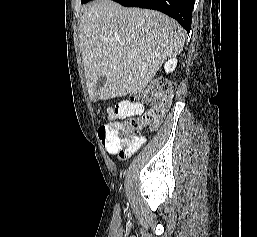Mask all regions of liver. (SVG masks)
<instances>
[{"label":"liver","mask_w":257,"mask_h":237,"mask_svg":"<svg viewBox=\"0 0 257 237\" xmlns=\"http://www.w3.org/2000/svg\"><path fill=\"white\" fill-rule=\"evenodd\" d=\"M79 30L88 93L94 101L141 92L167 57L181 53L186 39L174 19L111 0L86 8ZM101 75L106 83L96 92Z\"/></svg>","instance_id":"liver-1"}]
</instances>
